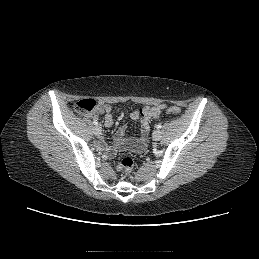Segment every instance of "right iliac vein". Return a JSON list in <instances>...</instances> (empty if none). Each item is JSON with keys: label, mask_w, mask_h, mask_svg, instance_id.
Returning a JSON list of instances; mask_svg holds the SVG:
<instances>
[{"label": "right iliac vein", "mask_w": 259, "mask_h": 259, "mask_svg": "<svg viewBox=\"0 0 259 259\" xmlns=\"http://www.w3.org/2000/svg\"><path fill=\"white\" fill-rule=\"evenodd\" d=\"M101 127L100 126H98V125H96L95 127H94V129H93V132H94V134L96 135V136H99V135H101Z\"/></svg>", "instance_id": "1"}]
</instances>
